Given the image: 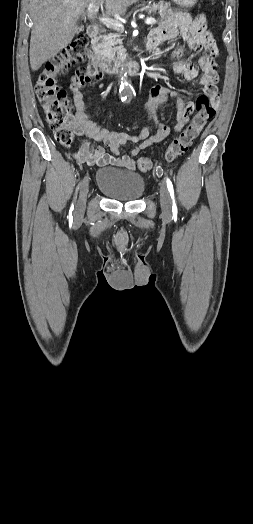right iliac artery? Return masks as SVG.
Listing matches in <instances>:
<instances>
[{
	"label": "right iliac artery",
	"mask_w": 253,
	"mask_h": 524,
	"mask_svg": "<svg viewBox=\"0 0 253 524\" xmlns=\"http://www.w3.org/2000/svg\"><path fill=\"white\" fill-rule=\"evenodd\" d=\"M86 180V177H82L77 188H76V191H78L79 189L82 188L84 182ZM74 212V204L71 205V208H70V216H72V213Z\"/></svg>",
	"instance_id": "1"
}]
</instances>
